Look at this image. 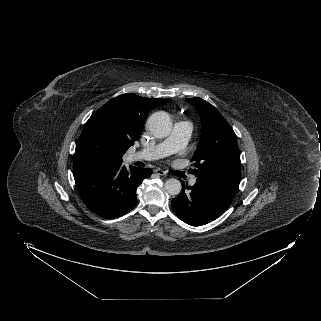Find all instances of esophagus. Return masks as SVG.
Wrapping results in <instances>:
<instances>
[{
  "instance_id": "esophagus-1",
  "label": "esophagus",
  "mask_w": 321,
  "mask_h": 321,
  "mask_svg": "<svg viewBox=\"0 0 321 321\" xmlns=\"http://www.w3.org/2000/svg\"><path fill=\"white\" fill-rule=\"evenodd\" d=\"M154 172L160 176H167V172L161 170V169H155Z\"/></svg>"
}]
</instances>
